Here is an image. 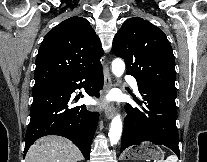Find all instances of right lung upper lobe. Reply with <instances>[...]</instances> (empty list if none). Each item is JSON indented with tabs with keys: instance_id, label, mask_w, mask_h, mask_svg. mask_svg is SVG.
<instances>
[{
	"instance_id": "cb5924a9",
	"label": "right lung upper lobe",
	"mask_w": 207,
	"mask_h": 162,
	"mask_svg": "<svg viewBox=\"0 0 207 162\" xmlns=\"http://www.w3.org/2000/svg\"><path fill=\"white\" fill-rule=\"evenodd\" d=\"M103 55L100 40L90 23L71 17L50 30L40 46L34 73L42 86L95 68Z\"/></svg>"
}]
</instances>
